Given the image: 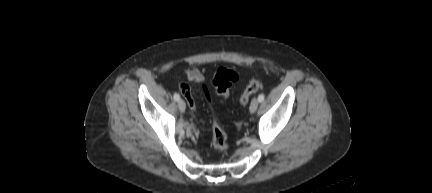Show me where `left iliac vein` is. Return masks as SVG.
I'll return each instance as SVG.
<instances>
[{"label":"left iliac vein","instance_id":"4c4485c4","mask_svg":"<svg viewBox=\"0 0 432 193\" xmlns=\"http://www.w3.org/2000/svg\"><path fill=\"white\" fill-rule=\"evenodd\" d=\"M258 104H259V101H258V99H256V98H254V99L251 101V104H250V107H249V110H250L251 113L256 112V110H257V108H258Z\"/></svg>","mask_w":432,"mask_h":193}]
</instances>
